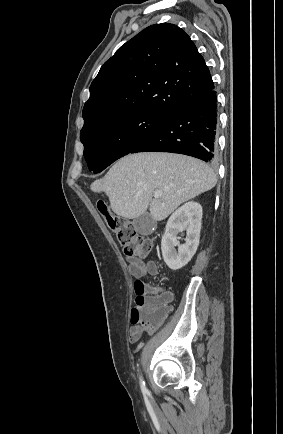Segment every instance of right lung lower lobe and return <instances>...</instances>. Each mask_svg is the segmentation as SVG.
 I'll use <instances>...</instances> for the list:
<instances>
[{"label":"right lung lower lobe","mask_w":283,"mask_h":434,"mask_svg":"<svg viewBox=\"0 0 283 434\" xmlns=\"http://www.w3.org/2000/svg\"><path fill=\"white\" fill-rule=\"evenodd\" d=\"M217 98L212 89L173 113L130 153L171 152L212 162L216 157Z\"/></svg>","instance_id":"obj_1"}]
</instances>
